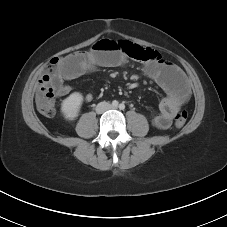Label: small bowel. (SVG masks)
Segmentation results:
<instances>
[{
  "mask_svg": "<svg viewBox=\"0 0 227 227\" xmlns=\"http://www.w3.org/2000/svg\"><path fill=\"white\" fill-rule=\"evenodd\" d=\"M127 54L119 49L115 41L102 39L88 51H79L62 58L60 65L51 78L57 96L71 92L66 81L76 79L97 67H117L126 62ZM145 73L165 92L159 104L158 113L151 116L154 127L165 130L171 125L173 116L187 102L189 89L186 77L176 65L157 60L145 66ZM93 99L92 94L83 96L85 102Z\"/></svg>",
  "mask_w": 227,
  "mask_h": 227,
  "instance_id": "c3829d8e",
  "label": "small bowel"
}]
</instances>
